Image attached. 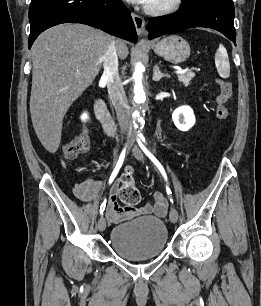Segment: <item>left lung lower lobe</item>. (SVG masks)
I'll list each match as a JSON object with an SVG mask.
<instances>
[{"mask_svg": "<svg viewBox=\"0 0 261 306\" xmlns=\"http://www.w3.org/2000/svg\"><path fill=\"white\" fill-rule=\"evenodd\" d=\"M234 15L232 0H195L182 4L177 13L151 19L148 24L149 37L187 28L207 27L221 32L235 44Z\"/></svg>", "mask_w": 261, "mask_h": 306, "instance_id": "obj_1", "label": "left lung lower lobe"}]
</instances>
